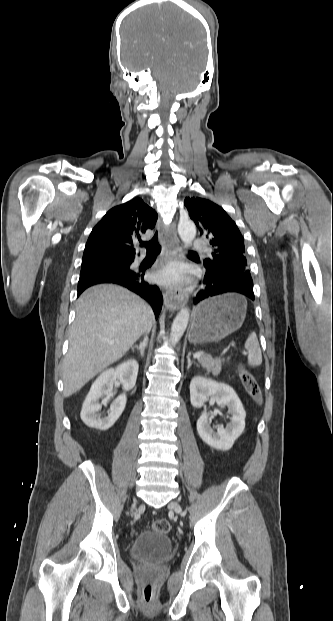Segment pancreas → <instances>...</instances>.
Returning <instances> with one entry per match:
<instances>
[{
	"label": "pancreas",
	"instance_id": "1",
	"mask_svg": "<svg viewBox=\"0 0 333 621\" xmlns=\"http://www.w3.org/2000/svg\"><path fill=\"white\" fill-rule=\"evenodd\" d=\"M198 361L201 366L207 370V372H212L213 375L217 376L218 374H220L221 365L222 362H224V359H213L209 355H203L201 358L198 359Z\"/></svg>",
	"mask_w": 333,
	"mask_h": 621
}]
</instances>
